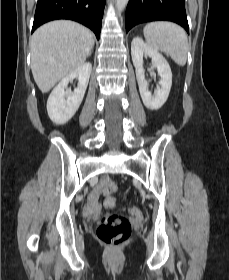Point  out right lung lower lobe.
<instances>
[{"instance_id":"1","label":"right lung lower lobe","mask_w":229,"mask_h":280,"mask_svg":"<svg viewBox=\"0 0 229 280\" xmlns=\"http://www.w3.org/2000/svg\"><path fill=\"white\" fill-rule=\"evenodd\" d=\"M105 1L38 0L32 32L48 21L70 19L89 27L99 39Z\"/></svg>"}]
</instances>
